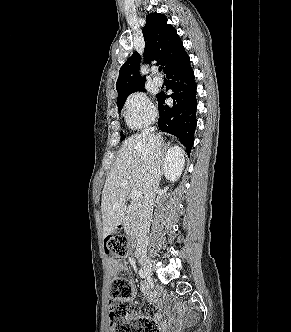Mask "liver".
<instances>
[{"label": "liver", "mask_w": 291, "mask_h": 332, "mask_svg": "<svg viewBox=\"0 0 291 332\" xmlns=\"http://www.w3.org/2000/svg\"><path fill=\"white\" fill-rule=\"evenodd\" d=\"M155 135V134H154ZM159 147L163 143L160 134L155 135ZM148 144L142 134H135L126 139L120 148L115 164L106 179L101 201L103 220V238L107 237L122 223L125 216V200L130 190L143 192L144 177L146 173V150ZM179 152L184 156V151ZM166 159V157H165ZM165 159L162 170L165 172ZM123 181L128 185L122 187Z\"/></svg>", "instance_id": "obj_1"}]
</instances>
